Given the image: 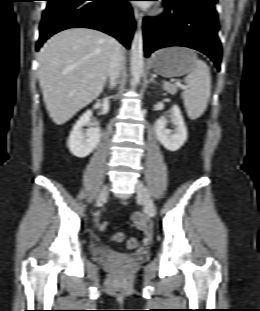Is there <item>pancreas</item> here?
<instances>
[{
    "mask_svg": "<svg viewBox=\"0 0 260 311\" xmlns=\"http://www.w3.org/2000/svg\"><path fill=\"white\" fill-rule=\"evenodd\" d=\"M163 88H164L165 91H167L171 95L176 94L177 91H178V86L174 85V84H171V83H164Z\"/></svg>",
    "mask_w": 260,
    "mask_h": 311,
    "instance_id": "obj_1",
    "label": "pancreas"
}]
</instances>
